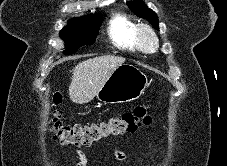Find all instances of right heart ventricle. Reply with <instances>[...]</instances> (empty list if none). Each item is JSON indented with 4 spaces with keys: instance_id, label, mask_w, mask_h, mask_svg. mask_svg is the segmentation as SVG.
<instances>
[{
    "instance_id": "right-heart-ventricle-1",
    "label": "right heart ventricle",
    "mask_w": 227,
    "mask_h": 166,
    "mask_svg": "<svg viewBox=\"0 0 227 166\" xmlns=\"http://www.w3.org/2000/svg\"><path fill=\"white\" fill-rule=\"evenodd\" d=\"M137 24L125 14L114 15L108 25V34L112 44L120 50L140 52L135 40Z\"/></svg>"
}]
</instances>
